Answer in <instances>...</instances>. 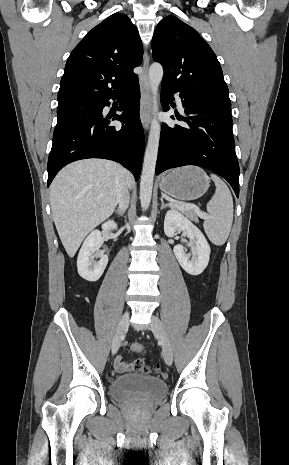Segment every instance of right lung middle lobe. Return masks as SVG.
Instances as JSON below:
<instances>
[{"mask_svg":"<svg viewBox=\"0 0 289 465\" xmlns=\"http://www.w3.org/2000/svg\"><path fill=\"white\" fill-rule=\"evenodd\" d=\"M100 107V101L81 100L59 104L57 109L58 121L54 134L59 133L79 122L93 118Z\"/></svg>","mask_w":289,"mask_h":465,"instance_id":"obj_1","label":"right lung middle lobe"}]
</instances>
